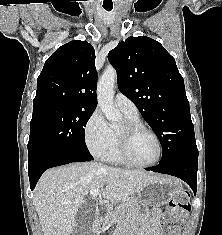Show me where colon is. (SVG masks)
Listing matches in <instances>:
<instances>
[{"instance_id": "obj_1", "label": "colon", "mask_w": 222, "mask_h": 235, "mask_svg": "<svg viewBox=\"0 0 222 235\" xmlns=\"http://www.w3.org/2000/svg\"><path fill=\"white\" fill-rule=\"evenodd\" d=\"M191 206L186 191H179L169 202L162 219L160 235H178L180 221L188 214Z\"/></svg>"}]
</instances>
